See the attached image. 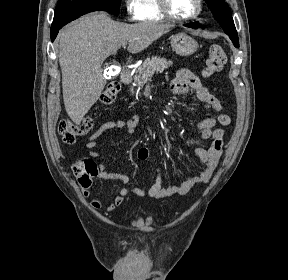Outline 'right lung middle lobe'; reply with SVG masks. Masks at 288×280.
Listing matches in <instances>:
<instances>
[{"instance_id": "obj_1", "label": "right lung middle lobe", "mask_w": 288, "mask_h": 280, "mask_svg": "<svg viewBox=\"0 0 288 280\" xmlns=\"http://www.w3.org/2000/svg\"><path fill=\"white\" fill-rule=\"evenodd\" d=\"M82 6H100L115 16H118L120 0H59L54 16H58L69 9Z\"/></svg>"}]
</instances>
